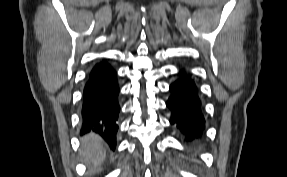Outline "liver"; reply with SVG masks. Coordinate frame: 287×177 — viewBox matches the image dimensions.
Here are the masks:
<instances>
[{
    "mask_svg": "<svg viewBox=\"0 0 287 177\" xmlns=\"http://www.w3.org/2000/svg\"><path fill=\"white\" fill-rule=\"evenodd\" d=\"M82 157L85 163L97 167L105 159L106 151L103 140L96 134L90 133L82 139Z\"/></svg>",
    "mask_w": 287,
    "mask_h": 177,
    "instance_id": "1",
    "label": "liver"
}]
</instances>
